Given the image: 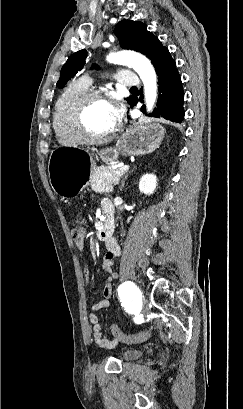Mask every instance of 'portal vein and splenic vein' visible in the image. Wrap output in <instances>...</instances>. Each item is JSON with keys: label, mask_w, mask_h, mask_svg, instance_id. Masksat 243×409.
<instances>
[{"label": "portal vein and splenic vein", "mask_w": 243, "mask_h": 409, "mask_svg": "<svg viewBox=\"0 0 243 409\" xmlns=\"http://www.w3.org/2000/svg\"><path fill=\"white\" fill-rule=\"evenodd\" d=\"M129 169V166L128 165H124V166H122L121 168H119V172H125L126 170H128Z\"/></svg>", "instance_id": "portal-vein-and-splenic-vein-1"}]
</instances>
